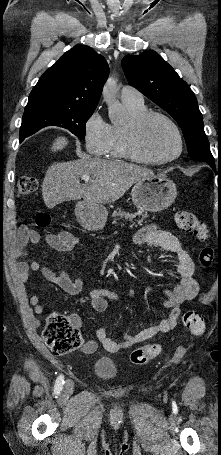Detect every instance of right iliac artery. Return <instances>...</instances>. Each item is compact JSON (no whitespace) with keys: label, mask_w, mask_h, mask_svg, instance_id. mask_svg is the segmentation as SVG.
Here are the masks:
<instances>
[{"label":"right iliac artery","mask_w":221,"mask_h":455,"mask_svg":"<svg viewBox=\"0 0 221 455\" xmlns=\"http://www.w3.org/2000/svg\"><path fill=\"white\" fill-rule=\"evenodd\" d=\"M64 384V377L62 375L58 376L54 386V392L59 393L62 390Z\"/></svg>","instance_id":"right-iliac-artery-1"}]
</instances>
